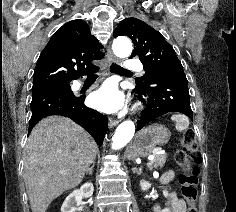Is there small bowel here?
Here are the masks:
<instances>
[{
	"instance_id": "obj_1",
	"label": "small bowel",
	"mask_w": 236,
	"mask_h": 212,
	"mask_svg": "<svg viewBox=\"0 0 236 212\" xmlns=\"http://www.w3.org/2000/svg\"><path fill=\"white\" fill-rule=\"evenodd\" d=\"M174 175L173 173L167 172L162 177V182H170L172 181ZM171 212H186V204L182 199H178L175 194H171ZM156 212H161L159 207H156Z\"/></svg>"
}]
</instances>
